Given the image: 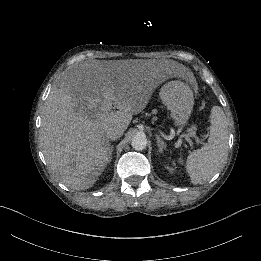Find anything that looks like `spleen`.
Returning <instances> with one entry per match:
<instances>
[{
    "label": "spleen",
    "mask_w": 261,
    "mask_h": 261,
    "mask_svg": "<svg viewBox=\"0 0 261 261\" xmlns=\"http://www.w3.org/2000/svg\"><path fill=\"white\" fill-rule=\"evenodd\" d=\"M210 137L201 149L189 154L186 161L192 184H203L220 171L228 153V122L221 107L213 106L210 115ZM182 163V160H179Z\"/></svg>",
    "instance_id": "1"
}]
</instances>
